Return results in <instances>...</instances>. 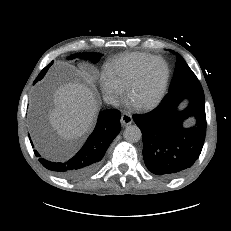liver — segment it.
Listing matches in <instances>:
<instances>
[{"instance_id":"1","label":"liver","mask_w":231,"mask_h":231,"mask_svg":"<svg viewBox=\"0 0 231 231\" xmlns=\"http://www.w3.org/2000/svg\"><path fill=\"white\" fill-rule=\"evenodd\" d=\"M53 108L48 111L49 124L64 141H73L88 133L98 113V100L90 81L68 82L53 93ZM30 129L34 141L43 153L48 152L42 125L33 112Z\"/></svg>"}]
</instances>
